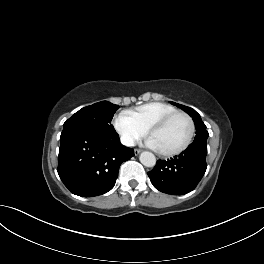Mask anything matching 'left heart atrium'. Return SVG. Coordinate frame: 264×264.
<instances>
[{"instance_id": "1", "label": "left heart atrium", "mask_w": 264, "mask_h": 264, "mask_svg": "<svg viewBox=\"0 0 264 264\" xmlns=\"http://www.w3.org/2000/svg\"><path fill=\"white\" fill-rule=\"evenodd\" d=\"M146 145L152 149L158 150L157 144L155 143V141L150 138L146 141Z\"/></svg>"}]
</instances>
